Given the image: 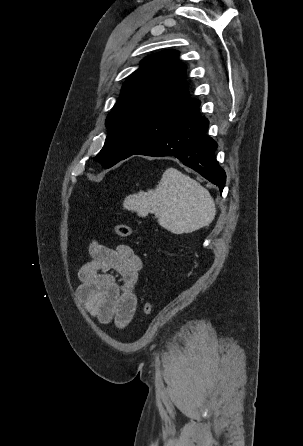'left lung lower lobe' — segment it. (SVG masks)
Returning <instances> with one entry per match:
<instances>
[{"instance_id": "1", "label": "left lung lower lobe", "mask_w": 303, "mask_h": 446, "mask_svg": "<svg viewBox=\"0 0 303 446\" xmlns=\"http://www.w3.org/2000/svg\"><path fill=\"white\" fill-rule=\"evenodd\" d=\"M199 107L200 101L173 131L133 154L174 156L217 185L222 192L226 174L215 158L217 143L206 136L208 120L200 115Z\"/></svg>"}]
</instances>
